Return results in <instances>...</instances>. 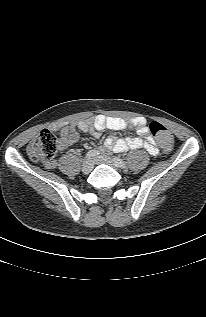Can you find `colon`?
<instances>
[{
  "label": "colon",
  "mask_w": 206,
  "mask_h": 317,
  "mask_svg": "<svg viewBox=\"0 0 206 317\" xmlns=\"http://www.w3.org/2000/svg\"><path fill=\"white\" fill-rule=\"evenodd\" d=\"M149 130L154 136L158 144L165 150L171 149L173 145V136L169 130L157 121H153L149 125ZM75 131L65 128L61 132V138H72ZM58 140L56 136L49 130H42L37 137L31 141L28 146V155L34 161L48 162L56 154Z\"/></svg>",
  "instance_id": "5ec220e1"
}]
</instances>
